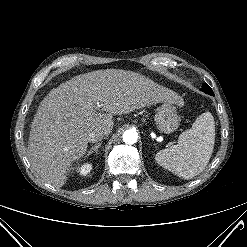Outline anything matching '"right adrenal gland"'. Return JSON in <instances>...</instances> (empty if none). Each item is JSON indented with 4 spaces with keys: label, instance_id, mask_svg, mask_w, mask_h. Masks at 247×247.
I'll use <instances>...</instances> for the list:
<instances>
[{
    "label": "right adrenal gland",
    "instance_id": "2a0ac1e0",
    "mask_svg": "<svg viewBox=\"0 0 247 247\" xmlns=\"http://www.w3.org/2000/svg\"><path fill=\"white\" fill-rule=\"evenodd\" d=\"M101 146V143L96 144L90 150L87 151L86 157L90 156L92 153H98V148Z\"/></svg>",
    "mask_w": 247,
    "mask_h": 247
}]
</instances>
